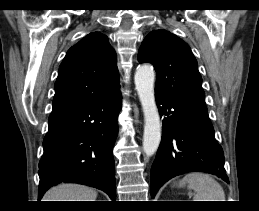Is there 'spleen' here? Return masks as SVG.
Masks as SVG:
<instances>
[{"label": "spleen", "instance_id": "3e777b00", "mask_svg": "<svg viewBox=\"0 0 259 211\" xmlns=\"http://www.w3.org/2000/svg\"><path fill=\"white\" fill-rule=\"evenodd\" d=\"M188 183L189 189L196 194L193 201H225L222 186L210 175L201 172H192L184 176L181 185Z\"/></svg>", "mask_w": 259, "mask_h": 211}]
</instances>
